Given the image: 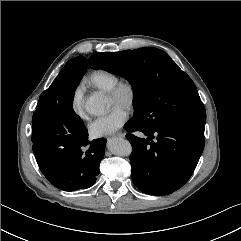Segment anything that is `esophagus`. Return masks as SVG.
<instances>
[{
	"label": "esophagus",
	"mask_w": 241,
	"mask_h": 241,
	"mask_svg": "<svg viewBox=\"0 0 241 241\" xmlns=\"http://www.w3.org/2000/svg\"><path fill=\"white\" fill-rule=\"evenodd\" d=\"M115 137H124V134L123 133H117L114 135Z\"/></svg>",
	"instance_id": "34e87169"
}]
</instances>
